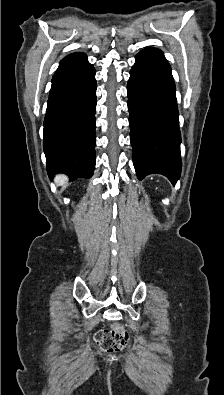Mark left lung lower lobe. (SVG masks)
Instances as JSON below:
<instances>
[{"label":"left lung lower lobe","instance_id":"obj_1","mask_svg":"<svg viewBox=\"0 0 224 395\" xmlns=\"http://www.w3.org/2000/svg\"><path fill=\"white\" fill-rule=\"evenodd\" d=\"M127 91L137 177L159 173L175 183L182 165L179 113L171 67L161 50L147 48L136 55Z\"/></svg>","mask_w":224,"mask_h":395}]
</instances>
